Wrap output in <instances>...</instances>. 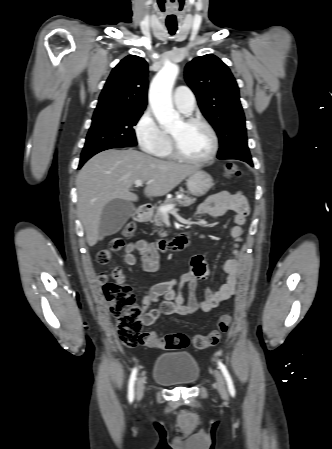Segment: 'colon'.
I'll return each instance as SVG.
<instances>
[{"instance_id": "colon-1", "label": "colon", "mask_w": 332, "mask_h": 449, "mask_svg": "<svg viewBox=\"0 0 332 449\" xmlns=\"http://www.w3.org/2000/svg\"><path fill=\"white\" fill-rule=\"evenodd\" d=\"M225 173L229 177H239L241 171L237 164L228 163ZM136 227L134 223H128L122 230V237L114 238L107 247L101 249L96 255V261L100 265L110 262L114 252L120 250L124 245L123 238L134 236ZM116 281L105 282V275L100 276L104 282L103 291L110 303L111 312L117 320V332L120 340L126 346L143 345L151 348L182 349L192 342L197 349L215 346L219 343L221 335L227 332L232 317L229 313L220 316L216 328L208 335H195L192 339L185 333H171L158 336L154 332H142L140 319L141 308L136 303V296L130 285L116 278V270L113 272Z\"/></svg>"}]
</instances>
